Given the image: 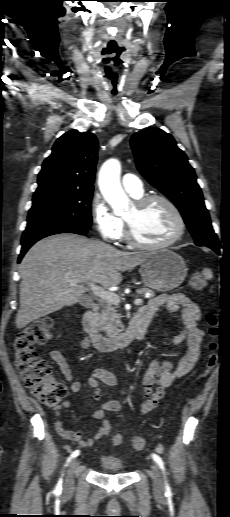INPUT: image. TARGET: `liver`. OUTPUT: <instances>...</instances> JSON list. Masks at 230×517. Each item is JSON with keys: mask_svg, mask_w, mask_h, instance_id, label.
I'll return each instance as SVG.
<instances>
[{"mask_svg": "<svg viewBox=\"0 0 230 517\" xmlns=\"http://www.w3.org/2000/svg\"><path fill=\"white\" fill-rule=\"evenodd\" d=\"M146 252H125L98 240L60 234L38 241L20 263V308L16 327L82 300L85 284L117 286L121 271L142 264ZM76 277L80 283L67 280Z\"/></svg>", "mask_w": 230, "mask_h": 517, "instance_id": "1", "label": "liver"}]
</instances>
